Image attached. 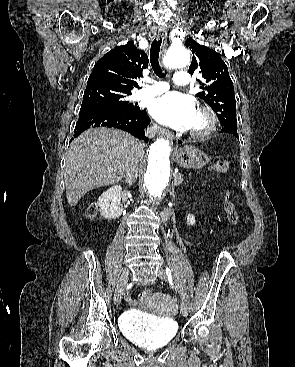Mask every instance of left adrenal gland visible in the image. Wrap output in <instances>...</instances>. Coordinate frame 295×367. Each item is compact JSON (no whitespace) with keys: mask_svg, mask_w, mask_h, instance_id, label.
Here are the masks:
<instances>
[{"mask_svg":"<svg viewBox=\"0 0 295 367\" xmlns=\"http://www.w3.org/2000/svg\"><path fill=\"white\" fill-rule=\"evenodd\" d=\"M174 193V189L172 190V194Z\"/></svg>","mask_w":295,"mask_h":367,"instance_id":"a2214340","label":"left adrenal gland"}]
</instances>
